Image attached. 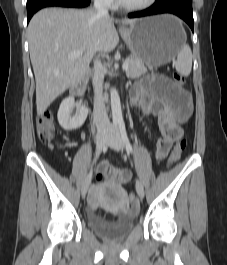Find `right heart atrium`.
<instances>
[{
    "label": "right heart atrium",
    "mask_w": 227,
    "mask_h": 265,
    "mask_svg": "<svg viewBox=\"0 0 227 265\" xmlns=\"http://www.w3.org/2000/svg\"><path fill=\"white\" fill-rule=\"evenodd\" d=\"M100 4L110 7L114 4V0H97Z\"/></svg>",
    "instance_id": "obj_1"
}]
</instances>
